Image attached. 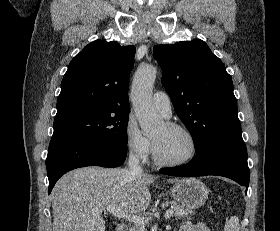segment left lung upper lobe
Returning <instances> with one entry per match:
<instances>
[{
	"label": "left lung upper lobe",
	"instance_id": "1",
	"mask_svg": "<svg viewBox=\"0 0 280 231\" xmlns=\"http://www.w3.org/2000/svg\"><path fill=\"white\" fill-rule=\"evenodd\" d=\"M162 84L195 146L217 136L239 133L231 76L205 42L195 39L154 47Z\"/></svg>",
	"mask_w": 280,
	"mask_h": 231
}]
</instances>
